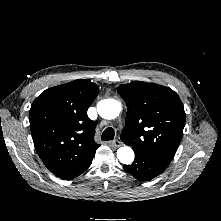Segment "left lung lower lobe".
Returning <instances> with one entry per match:
<instances>
[{
  "label": "left lung lower lobe",
  "mask_w": 221,
  "mask_h": 221,
  "mask_svg": "<svg viewBox=\"0 0 221 221\" xmlns=\"http://www.w3.org/2000/svg\"><path fill=\"white\" fill-rule=\"evenodd\" d=\"M135 161L131 165H124L123 168L140 181L153 179L162 173L169 165L167 158L157 157L144 153L141 150H134Z\"/></svg>",
  "instance_id": "0a47b994"
}]
</instances>
